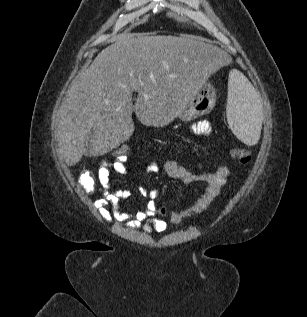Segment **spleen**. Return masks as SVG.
Listing matches in <instances>:
<instances>
[{
	"label": "spleen",
	"instance_id": "3e777b00",
	"mask_svg": "<svg viewBox=\"0 0 307 317\" xmlns=\"http://www.w3.org/2000/svg\"><path fill=\"white\" fill-rule=\"evenodd\" d=\"M228 85L226 114L229 126L244 144L255 145L260 138L263 120L259 96L248 79L237 70L230 72Z\"/></svg>",
	"mask_w": 307,
	"mask_h": 317
}]
</instances>
